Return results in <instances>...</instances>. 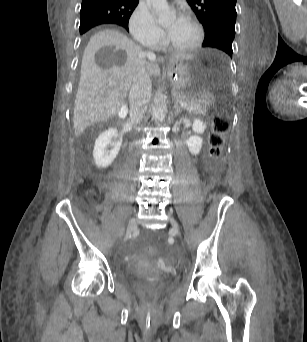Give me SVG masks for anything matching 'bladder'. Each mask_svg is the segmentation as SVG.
I'll return each instance as SVG.
<instances>
[{"instance_id":"1","label":"bladder","mask_w":307,"mask_h":342,"mask_svg":"<svg viewBox=\"0 0 307 342\" xmlns=\"http://www.w3.org/2000/svg\"><path fill=\"white\" fill-rule=\"evenodd\" d=\"M121 279L136 291H145L149 288L148 276L134 268L125 269ZM166 286L167 284L163 283L160 285V289H163Z\"/></svg>"}]
</instances>
